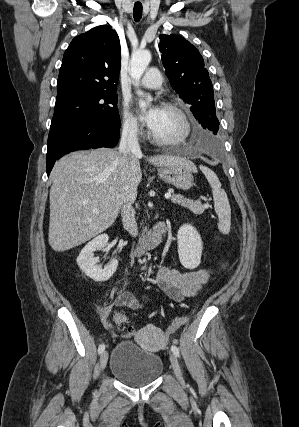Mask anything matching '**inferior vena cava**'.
<instances>
[{"label": "inferior vena cava", "mask_w": 299, "mask_h": 427, "mask_svg": "<svg viewBox=\"0 0 299 427\" xmlns=\"http://www.w3.org/2000/svg\"><path fill=\"white\" fill-rule=\"evenodd\" d=\"M119 153L128 156L142 154L135 127L127 126L123 128L119 145ZM121 217L124 228L130 235L136 237L138 235V227L135 219V210L130 203L126 202L122 205Z\"/></svg>", "instance_id": "obj_1"}]
</instances>
